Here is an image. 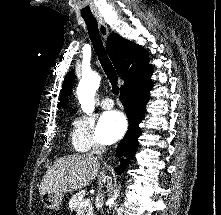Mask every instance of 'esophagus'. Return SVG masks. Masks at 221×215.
Segmentation results:
<instances>
[{"label": "esophagus", "instance_id": "obj_1", "mask_svg": "<svg viewBox=\"0 0 221 215\" xmlns=\"http://www.w3.org/2000/svg\"><path fill=\"white\" fill-rule=\"evenodd\" d=\"M99 31L102 36V39L106 42L109 36V30L107 25L103 22L102 19H98Z\"/></svg>", "mask_w": 221, "mask_h": 215}]
</instances>
